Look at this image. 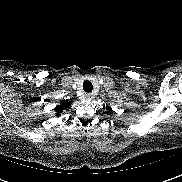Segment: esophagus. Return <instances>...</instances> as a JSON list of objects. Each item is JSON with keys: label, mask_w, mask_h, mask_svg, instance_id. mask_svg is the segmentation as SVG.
Masks as SVG:
<instances>
[{"label": "esophagus", "mask_w": 182, "mask_h": 182, "mask_svg": "<svg viewBox=\"0 0 182 182\" xmlns=\"http://www.w3.org/2000/svg\"><path fill=\"white\" fill-rule=\"evenodd\" d=\"M85 98L87 100H92L94 98V95L92 93H87V94H85Z\"/></svg>", "instance_id": "esophagus-1"}]
</instances>
